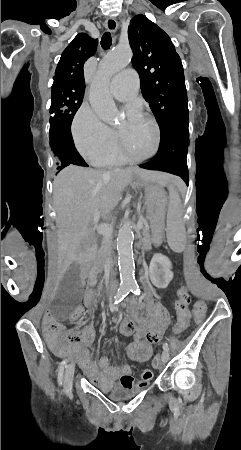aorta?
I'll return each mask as SVG.
<instances>
[{
	"label": "aorta",
	"mask_w": 241,
	"mask_h": 450,
	"mask_svg": "<svg viewBox=\"0 0 241 450\" xmlns=\"http://www.w3.org/2000/svg\"><path fill=\"white\" fill-rule=\"evenodd\" d=\"M131 58L130 47L118 46L105 55L98 67L91 85L89 101L97 116L104 122L113 123L118 116L117 107L108 90L109 81L130 63ZM133 240L131 223L124 221L118 231L117 251L121 284L125 287H134L136 284Z\"/></svg>",
	"instance_id": "obj_1"
}]
</instances>
